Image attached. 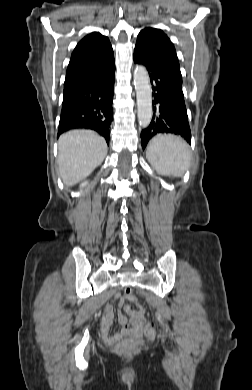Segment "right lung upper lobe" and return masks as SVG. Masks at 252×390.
Returning a JSON list of instances; mask_svg holds the SVG:
<instances>
[{
  "label": "right lung upper lobe",
  "mask_w": 252,
  "mask_h": 390,
  "mask_svg": "<svg viewBox=\"0 0 252 390\" xmlns=\"http://www.w3.org/2000/svg\"><path fill=\"white\" fill-rule=\"evenodd\" d=\"M114 65L109 39L98 32H92L77 44L71 55L64 90L82 81L101 77Z\"/></svg>",
  "instance_id": "cb5924a9"
}]
</instances>
